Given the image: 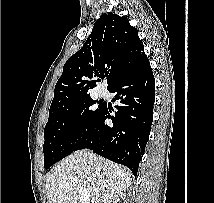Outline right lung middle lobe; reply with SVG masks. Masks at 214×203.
Returning a JSON list of instances; mask_svg holds the SVG:
<instances>
[{"label":"right lung middle lobe","instance_id":"dd1d6c3e","mask_svg":"<svg viewBox=\"0 0 214 203\" xmlns=\"http://www.w3.org/2000/svg\"><path fill=\"white\" fill-rule=\"evenodd\" d=\"M96 101L90 96L49 111L44 129V167L48 169L57 161L70 155L89 134L104 104L96 110Z\"/></svg>","mask_w":214,"mask_h":203}]
</instances>
